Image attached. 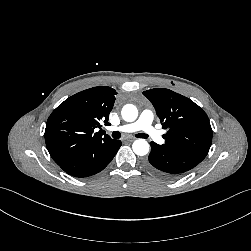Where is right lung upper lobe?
<instances>
[{"instance_id": "obj_1", "label": "right lung upper lobe", "mask_w": 251, "mask_h": 251, "mask_svg": "<svg viewBox=\"0 0 251 251\" xmlns=\"http://www.w3.org/2000/svg\"><path fill=\"white\" fill-rule=\"evenodd\" d=\"M115 95L116 91L110 87H93L67 98L52 112L46 124L45 142L58 165L92 146L112 140L94 130L110 124L108 117Z\"/></svg>"}]
</instances>
